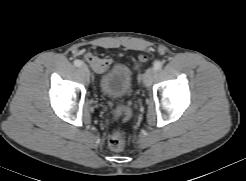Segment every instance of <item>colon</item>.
Returning a JSON list of instances; mask_svg holds the SVG:
<instances>
[{
  "instance_id": "colon-1",
  "label": "colon",
  "mask_w": 246,
  "mask_h": 181,
  "mask_svg": "<svg viewBox=\"0 0 246 181\" xmlns=\"http://www.w3.org/2000/svg\"><path fill=\"white\" fill-rule=\"evenodd\" d=\"M148 58L147 54L140 56V62L144 63ZM118 113L123 114L124 118L127 119L130 115V111L127 107L123 106L118 109ZM126 135L122 132H116L112 134L108 140V147L113 151H121L126 145Z\"/></svg>"
}]
</instances>
